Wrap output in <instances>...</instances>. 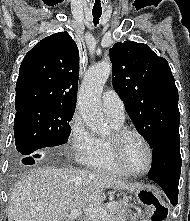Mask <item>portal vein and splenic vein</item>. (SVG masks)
Wrapping results in <instances>:
<instances>
[{"mask_svg":"<svg viewBox=\"0 0 190 221\" xmlns=\"http://www.w3.org/2000/svg\"><path fill=\"white\" fill-rule=\"evenodd\" d=\"M117 202H111L107 205V208H111L114 206H117ZM82 214L87 215L90 219L93 218H102L104 221H109V215H108V211L106 209L100 208V207H93V206H89L83 210H71L69 215H67V217L69 219H76L77 217L81 216Z\"/></svg>","mask_w":190,"mask_h":221,"instance_id":"portal-vein-and-splenic-vein-1","label":"portal vein and splenic vein"}]
</instances>
